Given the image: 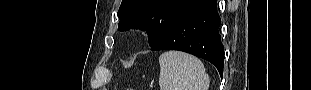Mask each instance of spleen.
Returning <instances> with one entry per match:
<instances>
[{
	"label": "spleen",
	"mask_w": 311,
	"mask_h": 90,
	"mask_svg": "<svg viewBox=\"0 0 311 90\" xmlns=\"http://www.w3.org/2000/svg\"><path fill=\"white\" fill-rule=\"evenodd\" d=\"M160 90H208L210 80L203 63L190 54L167 51L160 55Z\"/></svg>",
	"instance_id": "3e777b00"
}]
</instances>
